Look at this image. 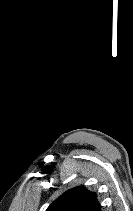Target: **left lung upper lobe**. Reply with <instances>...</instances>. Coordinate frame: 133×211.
<instances>
[{
    "label": "left lung upper lobe",
    "mask_w": 133,
    "mask_h": 211,
    "mask_svg": "<svg viewBox=\"0 0 133 211\" xmlns=\"http://www.w3.org/2000/svg\"><path fill=\"white\" fill-rule=\"evenodd\" d=\"M96 193L84 186L74 187L59 196L47 211H99Z\"/></svg>",
    "instance_id": "obj_1"
}]
</instances>
